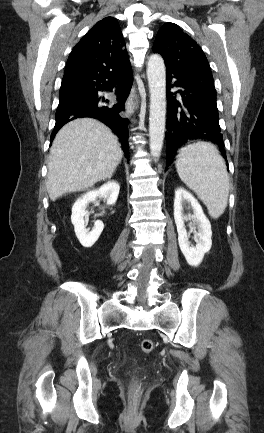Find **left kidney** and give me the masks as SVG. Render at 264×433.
I'll return each instance as SVG.
<instances>
[{"label":"left kidney","mask_w":264,"mask_h":433,"mask_svg":"<svg viewBox=\"0 0 264 433\" xmlns=\"http://www.w3.org/2000/svg\"><path fill=\"white\" fill-rule=\"evenodd\" d=\"M184 203H190L194 211L193 215L189 216L194 220L198 229V242L195 246H190L189 236L184 226ZM174 219L177 226L178 242L181 252L190 266H199L205 253L209 252L212 246L211 224L205 216L198 200L183 187H178L175 190Z\"/></svg>","instance_id":"5707ae66"}]
</instances>
